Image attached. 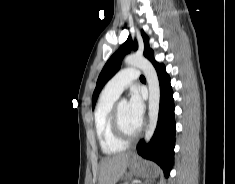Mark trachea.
I'll use <instances>...</instances> for the list:
<instances>
[{"instance_id": "obj_1", "label": "trachea", "mask_w": 235, "mask_h": 184, "mask_svg": "<svg viewBox=\"0 0 235 184\" xmlns=\"http://www.w3.org/2000/svg\"><path fill=\"white\" fill-rule=\"evenodd\" d=\"M141 80H145V77L143 75L140 76Z\"/></svg>"}]
</instances>
